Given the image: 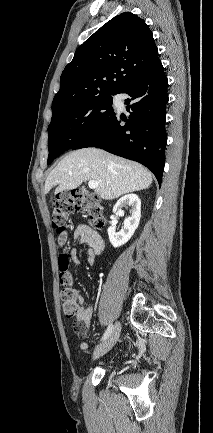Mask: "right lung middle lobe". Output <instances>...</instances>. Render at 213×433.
<instances>
[{
	"label": "right lung middle lobe",
	"instance_id": "obj_1",
	"mask_svg": "<svg viewBox=\"0 0 213 433\" xmlns=\"http://www.w3.org/2000/svg\"><path fill=\"white\" fill-rule=\"evenodd\" d=\"M114 114L112 96L100 95L66 106L52 115L48 126L47 164L98 132Z\"/></svg>",
	"mask_w": 213,
	"mask_h": 433
}]
</instances>
